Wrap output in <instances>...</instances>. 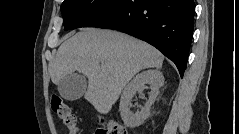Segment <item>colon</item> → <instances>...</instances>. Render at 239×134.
<instances>
[{"instance_id": "colon-1", "label": "colon", "mask_w": 239, "mask_h": 134, "mask_svg": "<svg viewBox=\"0 0 239 134\" xmlns=\"http://www.w3.org/2000/svg\"><path fill=\"white\" fill-rule=\"evenodd\" d=\"M51 108L63 120L71 134L77 131V118L71 107L57 94L51 96ZM96 134H127L125 127L116 121H103L97 129Z\"/></svg>"}]
</instances>
